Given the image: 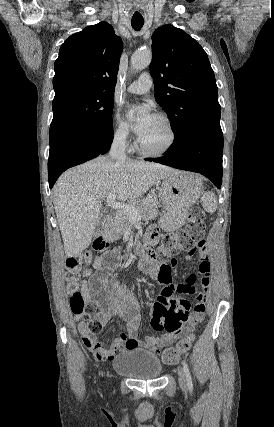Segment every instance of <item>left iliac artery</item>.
<instances>
[{
	"label": "left iliac artery",
	"mask_w": 274,
	"mask_h": 427,
	"mask_svg": "<svg viewBox=\"0 0 274 427\" xmlns=\"http://www.w3.org/2000/svg\"><path fill=\"white\" fill-rule=\"evenodd\" d=\"M182 365H183V370H184L185 375H186L188 389H189L190 392H192L193 391V383H192V378H191L190 371H189V368H188V364L184 360L182 362Z\"/></svg>",
	"instance_id": "obj_1"
}]
</instances>
